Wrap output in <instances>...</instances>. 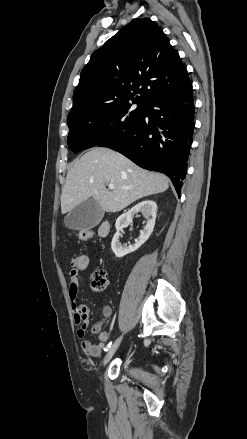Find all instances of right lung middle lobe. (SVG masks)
<instances>
[{
  "label": "right lung middle lobe",
  "instance_id": "dd1d6c3e",
  "mask_svg": "<svg viewBox=\"0 0 247 439\" xmlns=\"http://www.w3.org/2000/svg\"><path fill=\"white\" fill-rule=\"evenodd\" d=\"M135 109L129 100L100 105L67 118L69 148L77 153L94 146L107 147L126 135L144 116L146 104Z\"/></svg>",
  "mask_w": 247,
  "mask_h": 439
}]
</instances>
